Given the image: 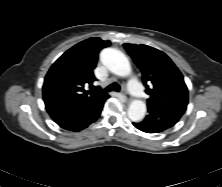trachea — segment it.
Here are the masks:
<instances>
[{"label": "trachea", "instance_id": "obj_1", "mask_svg": "<svg viewBox=\"0 0 222 187\" xmlns=\"http://www.w3.org/2000/svg\"><path fill=\"white\" fill-rule=\"evenodd\" d=\"M104 92H111V91H120V86L117 83H112L109 86H107L104 90Z\"/></svg>", "mask_w": 222, "mask_h": 187}]
</instances>
